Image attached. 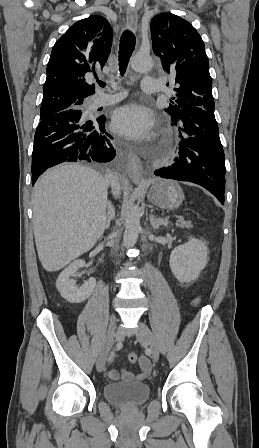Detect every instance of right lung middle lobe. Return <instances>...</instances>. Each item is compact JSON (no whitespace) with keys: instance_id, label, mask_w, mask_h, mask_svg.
I'll list each match as a JSON object with an SVG mask.
<instances>
[{"instance_id":"right-lung-middle-lobe-1","label":"right lung middle lobe","mask_w":259,"mask_h":448,"mask_svg":"<svg viewBox=\"0 0 259 448\" xmlns=\"http://www.w3.org/2000/svg\"><path fill=\"white\" fill-rule=\"evenodd\" d=\"M65 111H67L69 114H81V113L86 114L84 105L71 106V107L66 108V109H64V110H62L60 112H57V113H61V112H65ZM57 113L42 114V115H40V119H45V118H47V117H49L51 115L57 114Z\"/></svg>"}]
</instances>
